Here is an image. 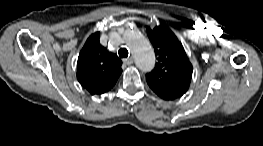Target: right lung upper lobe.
<instances>
[{
	"label": "right lung upper lobe",
	"mask_w": 263,
	"mask_h": 146,
	"mask_svg": "<svg viewBox=\"0 0 263 146\" xmlns=\"http://www.w3.org/2000/svg\"><path fill=\"white\" fill-rule=\"evenodd\" d=\"M100 32L93 33L79 53L77 79L92 95L109 91L122 73V61L99 42Z\"/></svg>",
	"instance_id": "right-lung-upper-lobe-1"
}]
</instances>
